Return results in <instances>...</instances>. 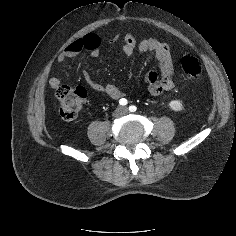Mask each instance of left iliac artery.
Wrapping results in <instances>:
<instances>
[{"mask_svg":"<svg viewBox=\"0 0 236 236\" xmlns=\"http://www.w3.org/2000/svg\"><path fill=\"white\" fill-rule=\"evenodd\" d=\"M136 109H137V108H136L134 105L129 106V110H130L131 112H135Z\"/></svg>","mask_w":236,"mask_h":236,"instance_id":"left-iliac-artery-1","label":"left iliac artery"}]
</instances>
